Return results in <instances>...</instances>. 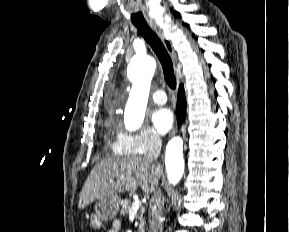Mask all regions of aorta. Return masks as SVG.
I'll list each match as a JSON object with an SVG mask.
<instances>
[{
	"label": "aorta",
	"instance_id": "762f6f07",
	"mask_svg": "<svg viewBox=\"0 0 289 232\" xmlns=\"http://www.w3.org/2000/svg\"><path fill=\"white\" fill-rule=\"evenodd\" d=\"M156 63L150 56H135L129 69L132 89L125 109V125L128 130H138L144 120L150 84L155 72ZM183 141L174 137L166 147L165 165L169 183L176 185L184 173Z\"/></svg>",
	"mask_w": 289,
	"mask_h": 232
}]
</instances>
